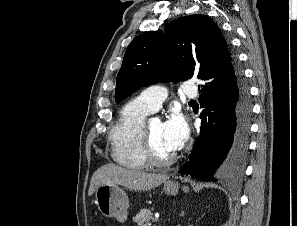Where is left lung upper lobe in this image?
<instances>
[{
	"instance_id": "1",
	"label": "left lung upper lobe",
	"mask_w": 297,
	"mask_h": 226,
	"mask_svg": "<svg viewBox=\"0 0 297 226\" xmlns=\"http://www.w3.org/2000/svg\"><path fill=\"white\" fill-rule=\"evenodd\" d=\"M235 56L218 26L206 15H190L169 23L164 31L146 32L128 46L116 79L115 101L156 82L203 84L235 74Z\"/></svg>"
}]
</instances>
